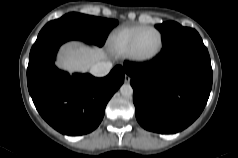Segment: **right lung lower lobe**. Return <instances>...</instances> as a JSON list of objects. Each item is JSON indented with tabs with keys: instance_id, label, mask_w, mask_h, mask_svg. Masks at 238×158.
Wrapping results in <instances>:
<instances>
[{
	"instance_id": "1",
	"label": "right lung lower lobe",
	"mask_w": 238,
	"mask_h": 158,
	"mask_svg": "<svg viewBox=\"0 0 238 158\" xmlns=\"http://www.w3.org/2000/svg\"><path fill=\"white\" fill-rule=\"evenodd\" d=\"M69 40L84 37L67 30H51L38 35L29 55L27 84L42 118L66 135H83L96 129L105 107L124 82L122 66H115L104 78L58 70L55 57L59 47Z\"/></svg>"
}]
</instances>
